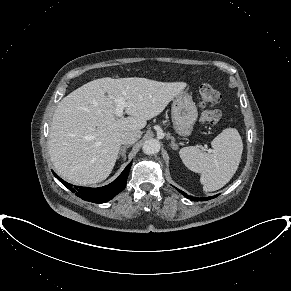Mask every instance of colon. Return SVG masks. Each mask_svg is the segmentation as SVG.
<instances>
[{"label":"colon","mask_w":291,"mask_h":291,"mask_svg":"<svg viewBox=\"0 0 291 291\" xmlns=\"http://www.w3.org/2000/svg\"><path fill=\"white\" fill-rule=\"evenodd\" d=\"M200 105L202 107L201 122L216 125L221 122L223 114L214 106L220 102L221 94L210 84H202L199 88Z\"/></svg>","instance_id":"obj_1"}]
</instances>
